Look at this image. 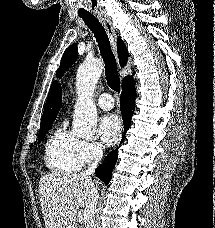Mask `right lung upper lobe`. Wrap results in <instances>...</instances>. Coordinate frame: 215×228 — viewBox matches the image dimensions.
Listing matches in <instances>:
<instances>
[{
	"label": "right lung upper lobe",
	"instance_id": "obj_1",
	"mask_svg": "<svg viewBox=\"0 0 215 228\" xmlns=\"http://www.w3.org/2000/svg\"><path fill=\"white\" fill-rule=\"evenodd\" d=\"M117 50L120 65L123 67L127 63L128 51L123 41L118 37ZM62 101V91L60 85L54 82L49 90L48 98L45 104L41 124L53 122L59 112Z\"/></svg>",
	"mask_w": 215,
	"mask_h": 228
}]
</instances>
